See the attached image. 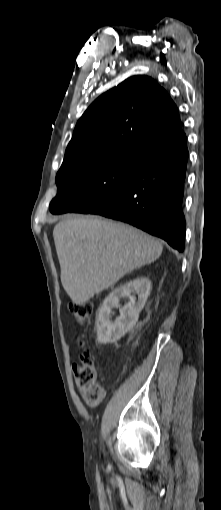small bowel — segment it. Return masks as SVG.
Returning a JSON list of instances; mask_svg holds the SVG:
<instances>
[{
    "instance_id": "1",
    "label": "small bowel",
    "mask_w": 221,
    "mask_h": 510,
    "mask_svg": "<svg viewBox=\"0 0 221 510\" xmlns=\"http://www.w3.org/2000/svg\"><path fill=\"white\" fill-rule=\"evenodd\" d=\"M78 368H79V366H78L77 364H74V365L72 366V370H73L74 374H76V373H77Z\"/></svg>"
}]
</instances>
